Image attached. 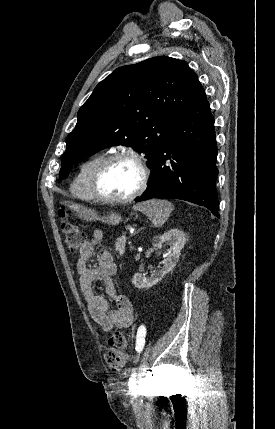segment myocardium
<instances>
[{
	"label": "myocardium",
	"mask_w": 275,
	"mask_h": 429,
	"mask_svg": "<svg viewBox=\"0 0 275 429\" xmlns=\"http://www.w3.org/2000/svg\"><path fill=\"white\" fill-rule=\"evenodd\" d=\"M119 160H130L137 164L140 170V181L137 188L128 196L125 197H109L105 195L100 187L101 179L103 174L108 169V167ZM149 179V169L145 160L137 153L132 151H123L117 152L111 155L106 156L95 168L91 180H90V189L95 200L107 204H124L133 201L138 196H140L147 187Z\"/></svg>",
	"instance_id": "1"
}]
</instances>
